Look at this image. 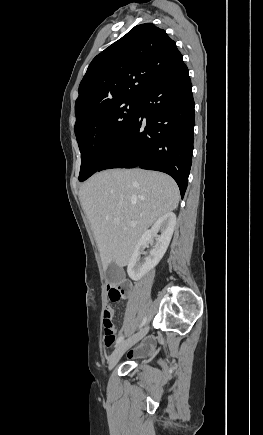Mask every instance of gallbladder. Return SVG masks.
I'll return each instance as SVG.
<instances>
[{"instance_id": "1", "label": "gallbladder", "mask_w": 263, "mask_h": 435, "mask_svg": "<svg viewBox=\"0 0 263 435\" xmlns=\"http://www.w3.org/2000/svg\"><path fill=\"white\" fill-rule=\"evenodd\" d=\"M105 274H106V279L113 284L120 283L125 278V273L123 269L117 266L114 262L109 264Z\"/></svg>"}]
</instances>
